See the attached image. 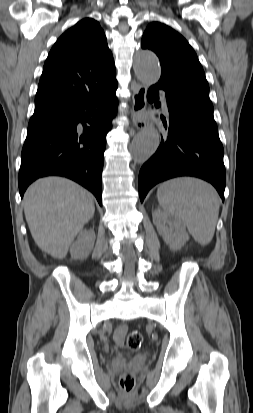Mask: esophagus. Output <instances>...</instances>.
<instances>
[{
    "label": "esophagus",
    "mask_w": 253,
    "mask_h": 413,
    "mask_svg": "<svg viewBox=\"0 0 253 413\" xmlns=\"http://www.w3.org/2000/svg\"><path fill=\"white\" fill-rule=\"evenodd\" d=\"M146 93L147 88L141 83H138L133 91L132 121L138 130L146 129L149 125V121L145 116L147 107Z\"/></svg>",
    "instance_id": "1"
}]
</instances>
